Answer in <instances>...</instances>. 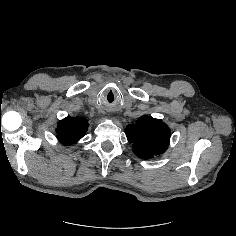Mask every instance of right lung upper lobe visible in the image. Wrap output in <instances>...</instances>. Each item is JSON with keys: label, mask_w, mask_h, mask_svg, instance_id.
<instances>
[{"label": "right lung upper lobe", "mask_w": 236, "mask_h": 236, "mask_svg": "<svg viewBox=\"0 0 236 236\" xmlns=\"http://www.w3.org/2000/svg\"><path fill=\"white\" fill-rule=\"evenodd\" d=\"M88 126L85 118L68 116L58 123L56 130L58 140L65 145H72L84 136Z\"/></svg>", "instance_id": "cb5924a9"}]
</instances>
